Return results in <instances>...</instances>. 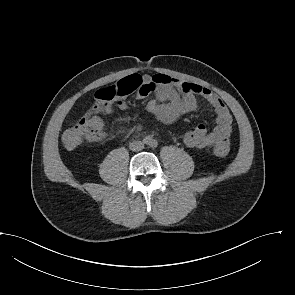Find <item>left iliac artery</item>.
<instances>
[{
	"instance_id": "left-iliac-artery-1",
	"label": "left iliac artery",
	"mask_w": 295,
	"mask_h": 295,
	"mask_svg": "<svg viewBox=\"0 0 295 295\" xmlns=\"http://www.w3.org/2000/svg\"><path fill=\"white\" fill-rule=\"evenodd\" d=\"M150 146H151L153 149H155V148H157V146H158V142H157L156 140H151V141H150Z\"/></svg>"
}]
</instances>
